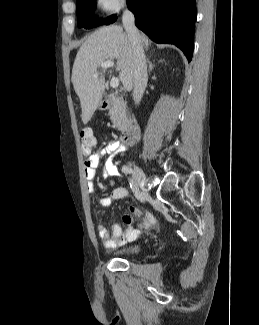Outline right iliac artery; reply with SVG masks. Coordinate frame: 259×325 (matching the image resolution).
<instances>
[{
    "label": "right iliac artery",
    "mask_w": 259,
    "mask_h": 325,
    "mask_svg": "<svg viewBox=\"0 0 259 325\" xmlns=\"http://www.w3.org/2000/svg\"><path fill=\"white\" fill-rule=\"evenodd\" d=\"M122 172L125 174H131L133 171H132L131 167H129V166H123ZM135 193H137V192H135Z\"/></svg>",
    "instance_id": "right-iliac-artery-1"
}]
</instances>
